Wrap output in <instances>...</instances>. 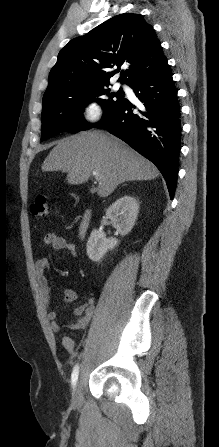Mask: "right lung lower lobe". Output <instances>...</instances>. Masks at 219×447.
Wrapping results in <instances>:
<instances>
[{"instance_id": "obj_1", "label": "right lung lower lobe", "mask_w": 219, "mask_h": 447, "mask_svg": "<svg viewBox=\"0 0 219 447\" xmlns=\"http://www.w3.org/2000/svg\"><path fill=\"white\" fill-rule=\"evenodd\" d=\"M140 108L125 99L94 125L119 137L153 162L174 196L181 142V110L169 66L131 87ZM137 111H136V110Z\"/></svg>"}]
</instances>
